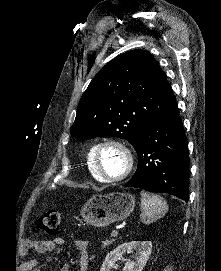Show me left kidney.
<instances>
[{
  "label": "left kidney",
  "instance_id": "left-kidney-1",
  "mask_svg": "<svg viewBox=\"0 0 221 271\" xmlns=\"http://www.w3.org/2000/svg\"><path fill=\"white\" fill-rule=\"evenodd\" d=\"M152 241H127L115 247L113 251L107 253L100 271H111L116 267L117 259L123 257V253H133L135 261H125L123 271H142L151 253Z\"/></svg>",
  "mask_w": 221,
  "mask_h": 271
}]
</instances>
